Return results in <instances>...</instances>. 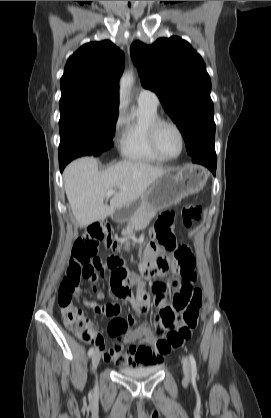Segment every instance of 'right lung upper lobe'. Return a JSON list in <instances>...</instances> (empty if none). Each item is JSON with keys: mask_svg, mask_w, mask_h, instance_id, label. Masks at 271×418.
Wrapping results in <instances>:
<instances>
[{"mask_svg": "<svg viewBox=\"0 0 271 418\" xmlns=\"http://www.w3.org/2000/svg\"><path fill=\"white\" fill-rule=\"evenodd\" d=\"M124 53L109 40L83 45L67 61L60 81V104L85 102L119 107L118 80Z\"/></svg>", "mask_w": 271, "mask_h": 418, "instance_id": "cb5924a9", "label": "right lung upper lobe"}]
</instances>
